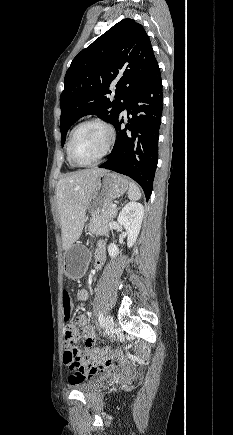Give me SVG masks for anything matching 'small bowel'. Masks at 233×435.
<instances>
[{
    "label": "small bowel",
    "mask_w": 233,
    "mask_h": 435,
    "mask_svg": "<svg viewBox=\"0 0 233 435\" xmlns=\"http://www.w3.org/2000/svg\"><path fill=\"white\" fill-rule=\"evenodd\" d=\"M106 260V252L104 246H100L94 256V271H99ZM89 297L88 292L85 289H81L77 292V299L79 301H86ZM74 322L82 327L83 338L85 341V347L82 350L83 358L81 363L78 366H75L71 369L68 368V372L70 373V379L78 380V379H93L95 375H104L110 369L116 370L121 373H130L133 371V368L125 363L123 365H115L111 362V360L105 356L102 361V366L98 372L88 371L86 368L90 364V359L93 358V354L97 352L94 349V346L97 343V333L94 327L87 324L88 316L86 314L80 315L74 319ZM67 349V347H66Z\"/></svg>",
    "instance_id": "c3829d8e"
}]
</instances>
